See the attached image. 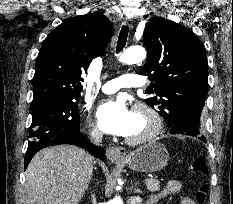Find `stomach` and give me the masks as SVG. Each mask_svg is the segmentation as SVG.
Listing matches in <instances>:
<instances>
[{
	"instance_id": "stomach-1",
	"label": "stomach",
	"mask_w": 233,
	"mask_h": 204,
	"mask_svg": "<svg viewBox=\"0 0 233 204\" xmlns=\"http://www.w3.org/2000/svg\"><path fill=\"white\" fill-rule=\"evenodd\" d=\"M168 159L169 154L166 147L153 141L133 151L121 163L127 165L131 170L151 173L163 169L167 165Z\"/></svg>"
}]
</instances>
